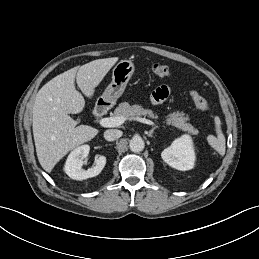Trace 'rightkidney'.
I'll use <instances>...</instances> for the list:
<instances>
[{
  "label": "right kidney",
  "mask_w": 259,
  "mask_h": 259,
  "mask_svg": "<svg viewBox=\"0 0 259 259\" xmlns=\"http://www.w3.org/2000/svg\"><path fill=\"white\" fill-rule=\"evenodd\" d=\"M90 151L89 145H82L74 149L68 156L64 170L66 174L75 180H85L97 176L106 164V157L99 156L95 159V166L90 169H83V159H85Z\"/></svg>",
  "instance_id": "obj_1"
}]
</instances>
